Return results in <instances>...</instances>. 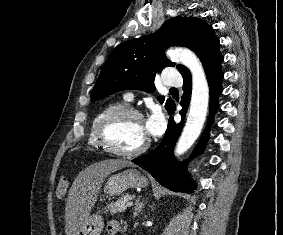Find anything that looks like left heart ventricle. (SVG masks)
I'll use <instances>...</instances> for the list:
<instances>
[{"label":"left heart ventricle","instance_id":"1","mask_svg":"<svg viewBox=\"0 0 283 235\" xmlns=\"http://www.w3.org/2000/svg\"><path fill=\"white\" fill-rule=\"evenodd\" d=\"M110 142L120 150H135L148 138L142 120L135 117L122 118L110 125L107 131Z\"/></svg>","mask_w":283,"mask_h":235}]
</instances>
